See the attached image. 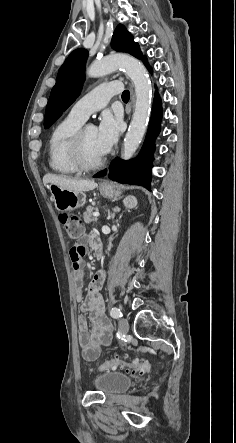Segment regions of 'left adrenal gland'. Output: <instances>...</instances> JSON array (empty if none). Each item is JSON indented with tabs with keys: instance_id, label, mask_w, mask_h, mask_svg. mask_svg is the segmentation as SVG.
<instances>
[{
	"instance_id": "left-adrenal-gland-1",
	"label": "left adrenal gland",
	"mask_w": 236,
	"mask_h": 443,
	"mask_svg": "<svg viewBox=\"0 0 236 443\" xmlns=\"http://www.w3.org/2000/svg\"><path fill=\"white\" fill-rule=\"evenodd\" d=\"M124 204H125V207H126V208L130 209V208H133V207L136 206V201H133V202H126V201H125ZM109 218L114 219V218H115V213H112V214L109 216Z\"/></svg>"
}]
</instances>
